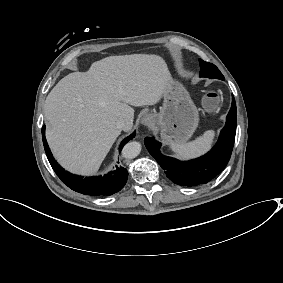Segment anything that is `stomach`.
<instances>
[{
	"instance_id": "stomach-1",
	"label": "stomach",
	"mask_w": 283,
	"mask_h": 283,
	"mask_svg": "<svg viewBox=\"0 0 283 283\" xmlns=\"http://www.w3.org/2000/svg\"><path fill=\"white\" fill-rule=\"evenodd\" d=\"M155 123L161 130V138L166 143L185 142L198 126L199 114L189 92L178 81L171 79L163 93V106L158 114H153Z\"/></svg>"
}]
</instances>
